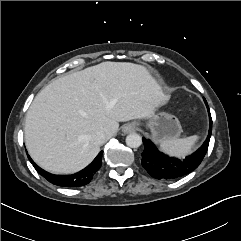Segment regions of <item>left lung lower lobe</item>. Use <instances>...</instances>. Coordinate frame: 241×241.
Instances as JSON below:
<instances>
[{
    "label": "left lung lower lobe",
    "instance_id": "obj_1",
    "mask_svg": "<svg viewBox=\"0 0 241 241\" xmlns=\"http://www.w3.org/2000/svg\"><path fill=\"white\" fill-rule=\"evenodd\" d=\"M205 103L207 105L206 101ZM209 116L210 129L206 141L195 153L185 158L179 159L170 157L160 152L149 139L143 138L144 151L142 153L141 162L143 168L156 179H176L194 171L199 166L208 150L212 132L210 112Z\"/></svg>",
    "mask_w": 241,
    "mask_h": 241
}]
</instances>
